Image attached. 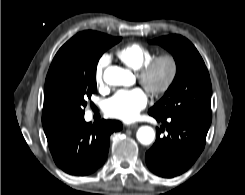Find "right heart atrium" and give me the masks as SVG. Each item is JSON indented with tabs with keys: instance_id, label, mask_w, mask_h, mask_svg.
I'll return each instance as SVG.
<instances>
[{
	"instance_id": "1",
	"label": "right heart atrium",
	"mask_w": 245,
	"mask_h": 195,
	"mask_svg": "<svg viewBox=\"0 0 245 195\" xmlns=\"http://www.w3.org/2000/svg\"><path fill=\"white\" fill-rule=\"evenodd\" d=\"M108 64H109V57L104 54L98 59L95 65L94 80L97 87H101L104 84L103 74Z\"/></svg>"
}]
</instances>
